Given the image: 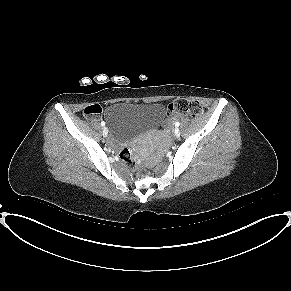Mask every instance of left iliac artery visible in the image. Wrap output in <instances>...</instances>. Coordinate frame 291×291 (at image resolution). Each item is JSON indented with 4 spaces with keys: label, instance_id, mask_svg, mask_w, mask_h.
Segmentation results:
<instances>
[{
    "label": "left iliac artery",
    "instance_id": "1",
    "mask_svg": "<svg viewBox=\"0 0 291 291\" xmlns=\"http://www.w3.org/2000/svg\"><path fill=\"white\" fill-rule=\"evenodd\" d=\"M179 125H180V123L177 121V122L175 123V126L178 127Z\"/></svg>",
    "mask_w": 291,
    "mask_h": 291
}]
</instances>
